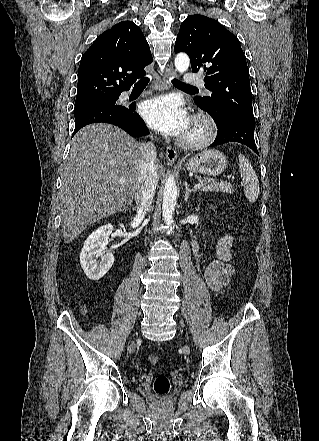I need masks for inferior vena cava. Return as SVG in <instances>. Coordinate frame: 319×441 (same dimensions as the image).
<instances>
[{"label": "inferior vena cava", "mask_w": 319, "mask_h": 441, "mask_svg": "<svg viewBox=\"0 0 319 441\" xmlns=\"http://www.w3.org/2000/svg\"><path fill=\"white\" fill-rule=\"evenodd\" d=\"M142 153L139 163V185L136 194L137 211L135 221H139L149 209L157 186L156 148L153 143L140 145Z\"/></svg>", "instance_id": "602c4592"}]
</instances>
